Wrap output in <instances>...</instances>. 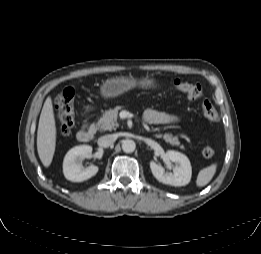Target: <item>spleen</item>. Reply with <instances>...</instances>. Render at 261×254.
Wrapping results in <instances>:
<instances>
[{
  "instance_id": "obj_1",
  "label": "spleen",
  "mask_w": 261,
  "mask_h": 254,
  "mask_svg": "<svg viewBox=\"0 0 261 254\" xmlns=\"http://www.w3.org/2000/svg\"><path fill=\"white\" fill-rule=\"evenodd\" d=\"M217 169V164L214 163L206 168H203L199 171L197 180H196V185L198 187H203L207 185L213 178V176L216 173Z\"/></svg>"
}]
</instances>
